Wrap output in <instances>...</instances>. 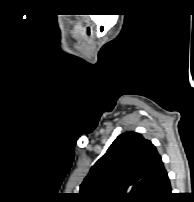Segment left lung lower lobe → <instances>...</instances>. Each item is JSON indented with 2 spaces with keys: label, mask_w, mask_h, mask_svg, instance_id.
I'll return each instance as SVG.
<instances>
[{
  "label": "left lung lower lobe",
  "mask_w": 194,
  "mask_h": 202,
  "mask_svg": "<svg viewBox=\"0 0 194 202\" xmlns=\"http://www.w3.org/2000/svg\"><path fill=\"white\" fill-rule=\"evenodd\" d=\"M171 196V185L168 178V174L165 171L161 177L160 184L156 190L155 197L151 202H169Z\"/></svg>",
  "instance_id": "1"
}]
</instances>
